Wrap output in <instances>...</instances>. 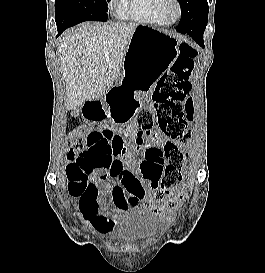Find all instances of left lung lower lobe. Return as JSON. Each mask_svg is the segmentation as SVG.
I'll list each match as a JSON object with an SVG mask.
<instances>
[{
  "label": "left lung lower lobe",
  "mask_w": 265,
  "mask_h": 273,
  "mask_svg": "<svg viewBox=\"0 0 265 273\" xmlns=\"http://www.w3.org/2000/svg\"><path fill=\"white\" fill-rule=\"evenodd\" d=\"M190 11L182 14L176 31L187 33L200 46L204 47L203 33L207 23L205 22L204 11L207 9V0H195Z\"/></svg>",
  "instance_id": "obj_1"
}]
</instances>
